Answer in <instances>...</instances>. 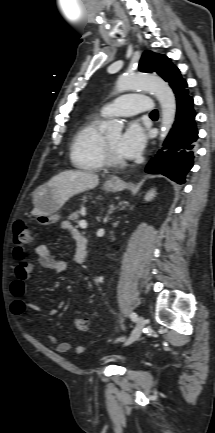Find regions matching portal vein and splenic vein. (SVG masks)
<instances>
[{
  "label": "portal vein and splenic vein",
  "mask_w": 215,
  "mask_h": 433,
  "mask_svg": "<svg viewBox=\"0 0 215 433\" xmlns=\"http://www.w3.org/2000/svg\"><path fill=\"white\" fill-rule=\"evenodd\" d=\"M79 226L83 229L87 228V222L85 220H81L79 222Z\"/></svg>",
  "instance_id": "obj_1"
}]
</instances>
